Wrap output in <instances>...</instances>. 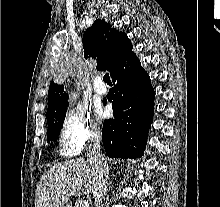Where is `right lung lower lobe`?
Returning <instances> with one entry per match:
<instances>
[{
    "label": "right lung lower lobe",
    "instance_id": "98d812e1",
    "mask_svg": "<svg viewBox=\"0 0 220 207\" xmlns=\"http://www.w3.org/2000/svg\"><path fill=\"white\" fill-rule=\"evenodd\" d=\"M111 77L113 94L107 98L112 102L114 118L104 121L103 146L110 157L135 159L143 155L146 147L155 92L133 52L115 66Z\"/></svg>",
    "mask_w": 220,
    "mask_h": 207
}]
</instances>
